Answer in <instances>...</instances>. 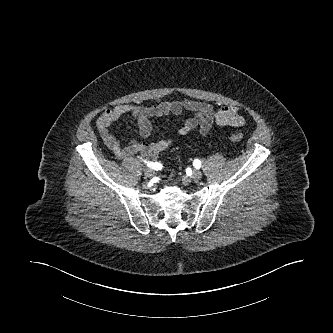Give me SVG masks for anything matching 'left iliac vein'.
<instances>
[{"label":"left iliac vein","mask_w":333,"mask_h":333,"mask_svg":"<svg viewBox=\"0 0 333 333\" xmlns=\"http://www.w3.org/2000/svg\"><path fill=\"white\" fill-rule=\"evenodd\" d=\"M191 178L194 181H199L202 178V173L199 170H193Z\"/></svg>","instance_id":"1"}]
</instances>
